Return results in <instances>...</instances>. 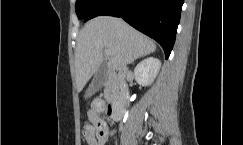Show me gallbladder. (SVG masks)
Listing matches in <instances>:
<instances>
[{"instance_id": "gallbladder-1", "label": "gallbladder", "mask_w": 243, "mask_h": 145, "mask_svg": "<svg viewBox=\"0 0 243 145\" xmlns=\"http://www.w3.org/2000/svg\"><path fill=\"white\" fill-rule=\"evenodd\" d=\"M106 79H107V65L103 63L99 67L97 73L94 75L93 80L85 93V98L91 96L99 89H101Z\"/></svg>"}]
</instances>
